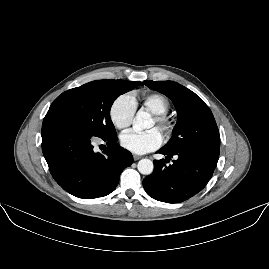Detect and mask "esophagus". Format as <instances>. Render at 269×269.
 Segmentation results:
<instances>
[{"instance_id": "esophagus-1", "label": "esophagus", "mask_w": 269, "mask_h": 269, "mask_svg": "<svg viewBox=\"0 0 269 269\" xmlns=\"http://www.w3.org/2000/svg\"><path fill=\"white\" fill-rule=\"evenodd\" d=\"M134 161H137L142 158V156L139 155H133Z\"/></svg>"}]
</instances>
